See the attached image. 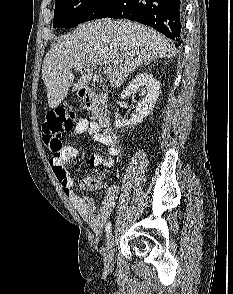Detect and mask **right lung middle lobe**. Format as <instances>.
I'll return each mask as SVG.
<instances>
[{
	"label": "right lung middle lobe",
	"mask_w": 233,
	"mask_h": 294,
	"mask_svg": "<svg viewBox=\"0 0 233 294\" xmlns=\"http://www.w3.org/2000/svg\"><path fill=\"white\" fill-rule=\"evenodd\" d=\"M120 0H55L53 27L72 28L105 18Z\"/></svg>",
	"instance_id": "dd1d6c3e"
}]
</instances>
